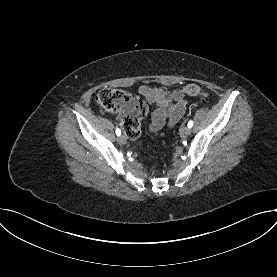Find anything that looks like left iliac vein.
Wrapping results in <instances>:
<instances>
[{
    "mask_svg": "<svg viewBox=\"0 0 277 277\" xmlns=\"http://www.w3.org/2000/svg\"><path fill=\"white\" fill-rule=\"evenodd\" d=\"M181 132H182V134L183 135H190L191 134V129L189 128V127H187V126H184L183 128H182V130H181Z\"/></svg>",
    "mask_w": 277,
    "mask_h": 277,
    "instance_id": "left-iliac-vein-1",
    "label": "left iliac vein"
}]
</instances>
